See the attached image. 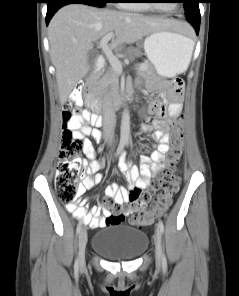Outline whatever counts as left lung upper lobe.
<instances>
[{
  "label": "left lung upper lobe",
  "mask_w": 239,
  "mask_h": 296,
  "mask_svg": "<svg viewBox=\"0 0 239 296\" xmlns=\"http://www.w3.org/2000/svg\"><path fill=\"white\" fill-rule=\"evenodd\" d=\"M199 2L200 0H183L187 20L200 21Z\"/></svg>",
  "instance_id": "5c2ea615"
}]
</instances>
